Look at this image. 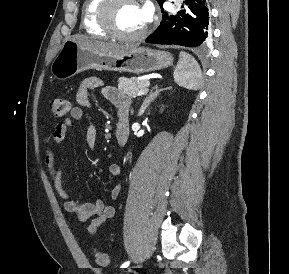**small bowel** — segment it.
I'll return each mask as SVG.
<instances>
[{
    "label": "small bowel",
    "mask_w": 289,
    "mask_h": 274,
    "mask_svg": "<svg viewBox=\"0 0 289 274\" xmlns=\"http://www.w3.org/2000/svg\"><path fill=\"white\" fill-rule=\"evenodd\" d=\"M94 89L101 90L103 96L116 106L120 113L129 111V100L118 89L107 86L98 77H89L84 79L76 91L77 106L70 110V117L62 123L55 126L52 141L45 155V165L51 176L54 187L58 195L64 200L63 208L71 213L76 221L85 222L91 219L87 231L91 236L96 235L100 226L115 215V208L111 204H106L101 199H94L88 202H79L71 199L62 184L63 168L59 163V156L55 153L54 148L60 146L66 138L69 127L74 120H81L84 116V110L90 107L89 95ZM86 143L89 149L93 150L97 144V130L93 123H90L86 130ZM108 174L112 177H118L121 168L118 164L108 166ZM121 191L120 183H117L110 191V199L118 198Z\"/></svg>",
    "instance_id": "1"
}]
</instances>
